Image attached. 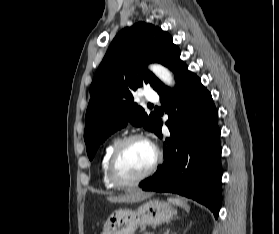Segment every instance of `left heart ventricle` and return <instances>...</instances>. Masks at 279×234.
<instances>
[{
    "instance_id": "b2bd125f",
    "label": "left heart ventricle",
    "mask_w": 279,
    "mask_h": 234,
    "mask_svg": "<svg viewBox=\"0 0 279 234\" xmlns=\"http://www.w3.org/2000/svg\"><path fill=\"white\" fill-rule=\"evenodd\" d=\"M154 157V149L149 143L132 141L124 147L119 156L117 173L121 179H134L151 166Z\"/></svg>"
}]
</instances>
